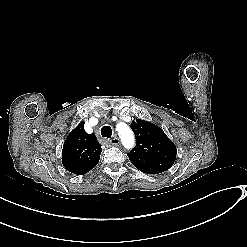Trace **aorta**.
Listing matches in <instances>:
<instances>
[{"instance_id":"aorta-1","label":"aorta","mask_w":247,"mask_h":247,"mask_svg":"<svg viewBox=\"0 0 247 247\" xmlns=\"http://www.w3.org/2000/svg\"><path fill=\"white\" fill-rule=\"evenodd\" d=\"M119 136L126 148H131L133 146L134 135L127 125L124 124L123 128L119 130Z\"/></svg>"}]
</instances>
